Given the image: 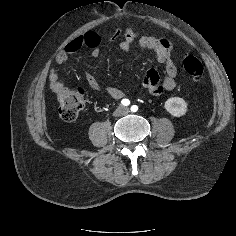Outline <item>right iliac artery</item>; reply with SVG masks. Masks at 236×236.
Instances as JSON below:
<instances>
[{
	"label": "right iliac artery",
	"mask_w": 236,
	"mask_h": 236,
	"mask_svg": "<svg viewBox=\"0 0 236 236\" xmlns=\"http://www.w3.org/2000/svg\"><path fill=\"white\" fill-rule=\"evenodd\" d=\"M121 103H122V105H124V106H128V105L130 104V101H129V99H123V100L121 101Z\"/></svg>",
	"instance_id": "right-iliac-artery-1"
}]
</instances>
